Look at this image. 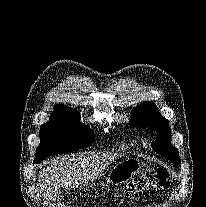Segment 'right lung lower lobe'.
<instances>
[{
	"label": "right lung lower lobe",
	"mask_w": 206,
	"mask_h": 207,
	"mask_svg": "<svg viewBox=\"0 0 206 207\" xmlns=\"http://www.w3.org/2000/svg\"><path fill=\"white\" fill-rule=\"evenodd\" d=\"M41 161H42V160H38V159H35V160H34L35 163H40Z\"/></svg>",
	"instance_id": "obj_1"
}]
</instances>
